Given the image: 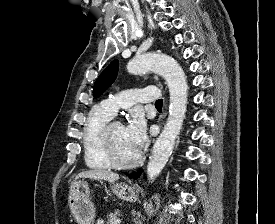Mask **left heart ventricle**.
<instances>
[{"mask_svg":"<svg viewBox=\"0 0 275 224\" xmlns=\"http://www.w3.org/2000/svg\"><path fill=\"white\" fill-rule=\"evenodd\" d=\"M111 140L115 153L120 160H132L139 153L128 141L125 134V127L121 123L113 124L111 128Z\"/></svg>","mask_w":275,"mask_h":224,"instance_id":"1","label":"left heart ventricle"}]
</instances>
